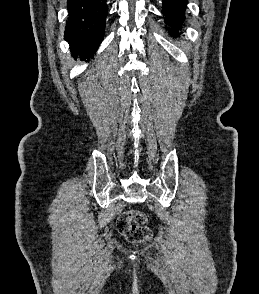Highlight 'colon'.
<instances>
[{
    "label": "colon",
    "instance_id": "5ec220e1",
    "mask_svg": "<svg viewBox=\"0 0 259 294\" xmlns=\"http://www.w3.org/2000/svg\"><path fill=\"white\" fill-rule=\"evenodd\" d=\"M145 224V215L139 210H131L118 219L117 229L129 242L142 243L152 236L151 230Z\"/></svg>",
    "mask_w": 259,
    "mask_h": 294
}]
</instances>
